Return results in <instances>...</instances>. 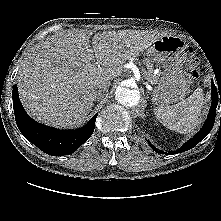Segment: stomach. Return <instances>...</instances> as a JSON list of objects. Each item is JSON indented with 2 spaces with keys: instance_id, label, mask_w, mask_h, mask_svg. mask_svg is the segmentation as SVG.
<instances>
[{
  "instance_id": "0dacf381",
  "label": "stomach",
  "mask_w": 221,
  "mask_h": 221,
  "mask_svg": "<svg viewBox=\"0 0 221 221\" xmlns=\"http://www.w3.org/2000/svg\"><path fill=\"white\" fill-rule=\"evenodd\" d=\"M187 48L188 44L183 38L162 35L148 49L163 68L152 95V101L156 105L175 103L186 96L189 85L183 74V64L187 57Z\"/></svg>"
}]
</instances>
